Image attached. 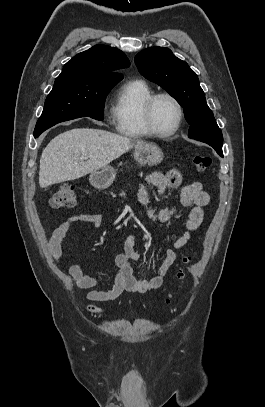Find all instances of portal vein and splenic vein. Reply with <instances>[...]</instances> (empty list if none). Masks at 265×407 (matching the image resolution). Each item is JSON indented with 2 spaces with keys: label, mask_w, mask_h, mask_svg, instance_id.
I'll use <instances>...</instances> for the list:
<instances>
[{
  "label": "portal vein and splenic vein",
  "mask_w": 265,
  "mask_h": 407,
  "mask_svg": "<svg viewBox=\"0 0 265 407\" xmlns=\"http://www.w3.org/2000/svg\"><path fill=\"white\" fill-rule=\"evenodd\" d=\"M80 159H85V157H84V156H81Z\"/></svg>",
  "instance_id": "1"
}]
</instances>
